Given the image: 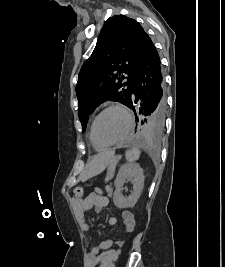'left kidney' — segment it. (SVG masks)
Here are the masks:
<instances>
[{
  "label": "left kidney",
  "mask_w": 225,
  "mask_h": 267,
  "mask_svg": "<svg viewBox=\"0 0 225 267\" xmlns=\"http://www.w3.org/2000/svg\"><path fill=\"white\" fill-rule=\"evenodd\" d=\"M143 169L138 164H124L121 166L115 184L113 202L118 208L133 207L141 195L144 186ZM133 179V193L129 197H124L121 193L126 180Z\"/></svg>",
  "instance_id": "obj_1"
}]
</instances>
